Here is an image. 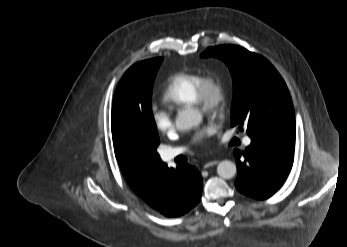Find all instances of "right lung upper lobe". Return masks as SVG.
I'll use <instances>...</instances> for the list:
<instances>
[{"label": "right lung upper lobe", "mask_w": 347, "mask_h": 247, "mask_svg": "<svg viewBox=\"0 0 347 247\" xmlns=\"http://www.w3.org/2000/svg\"><path fill=\"white\" fill-rule=\"evenodd\" d=\"M115 157L132 190L144 201L155 202L162 193L167 165L160 157L151 158L125 147L113 139Z\"/></svg>", "instance_id": "cb5924a9"}]
</instances>
